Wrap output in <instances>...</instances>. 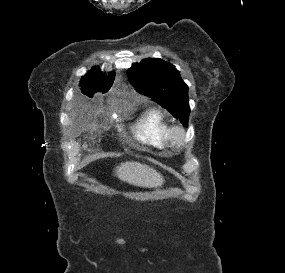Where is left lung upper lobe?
<instances>
[{
  "label": "left lung upper lobe",
  "instance_id": "1",
  "mask_svg": "<svg viewBox=\"0 0 285 273\" xmlns=\"http://www.w3.org/2000/svg\"><path fill=\"white\" fill-rule=\"evenodd\" d=\"M129 80L140 93L169 110L184 126L188 125V86L171 64L160 58L144 59L129 69Z\"/></svg>",
  "mask_w": 285,
  "mask_h": 273
}]
</instances>
